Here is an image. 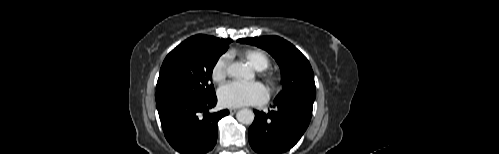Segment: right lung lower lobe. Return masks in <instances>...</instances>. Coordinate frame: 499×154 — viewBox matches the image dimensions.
Segmentation results:
<instances>
[{"instance_id":"98d812e1","label":"right lung lower lobe","mask_w":499,"mask_h":154,"mask_svg":"<svg viewBox=\"0 0 499 154\" xmlns=\"http://www.w3.org/2000/svg\"><path fill=\"white\" fill-rule=\"evenodd\" d=\"M217 103L216 95L202 101L170 99L157 103L164 135L182 154H203L217 141V122L228 110L209 113Z\"/></svg>"}]
</instances>
